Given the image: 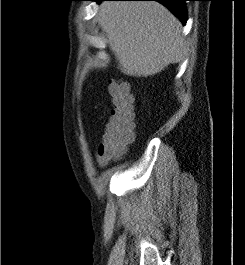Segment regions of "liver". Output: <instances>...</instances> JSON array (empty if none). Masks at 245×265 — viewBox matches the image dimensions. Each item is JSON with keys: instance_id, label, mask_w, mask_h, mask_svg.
Listing matches in <instances>:
<instances>
[{"instance_id": "6515ba94", "label": "liver", "mask_w": 245, "mask_h": 265, "mask_svg": "<svg viewBox=\"0 0 245 265\" xmlns=\"http://www.w3.org/2000/svg\"><path fill=\"white\" fill-rule=\"evenodd\" d=\"M97 19L119 67L128 75H155L185 55L181 22L158 2L105 1Z\"/></svg>"}]
</instances>
